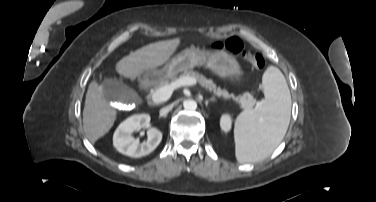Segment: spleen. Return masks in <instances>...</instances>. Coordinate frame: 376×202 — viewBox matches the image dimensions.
<instances>
[{"mask_svg":"<svg viewBox=\"0 0 376 202\" xmlns=\"http://www.w3.org/2000/svg\"><path fill=\"white\" fill-rule=\"evenodd\" d=\"M265 99L261 106L240 113L235 120V154L239 162L269 156L283 140L291 116V96L283 73L275 66L262 77Z\"/></svg>","mask_w":376,"mask_h":202,"instance_id":"spleen-1","label":"spleen"}]
</instances>
